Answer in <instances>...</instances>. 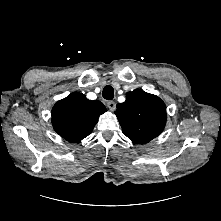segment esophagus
Wrapping results in <instances>:
<instances>
[{
	"instance_id": "obj_1",
	"label": "esophagus",
	"mask_w": 221,
	"mask_h": 221,
	"mask_svg": "<svg viewBox=\"0 0 221 221\" xmlns=\"http://www.w3.org/2000/svg\"><path fill=\"white\" fill-rule=\"evenodd\" d=\"M107 107L111 110V111H114L115 108H116V104L114 101H108L107 102Z\"/></svg>"
}]
</instances>
